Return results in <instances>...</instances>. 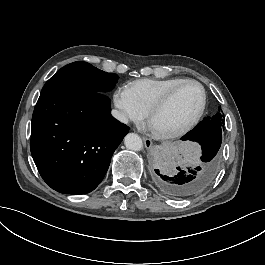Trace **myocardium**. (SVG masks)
Here are the masks:
<instances>
[{
	"label": "myocardium",
	"mask_w": 265,
	"mask_h": 265,
	"mask_svg": "<svg viewBox=\"0 0 265 265\" xmlns=\"http://www.w3.org/2000/svg\"><path fill=\"white\" fill-rule=\"evenodd\" d=\"M188 83H194L198 85L202 92V102L196 114L185 125H183L178 129L169 132L155 131L152 127V122L156 114L160 112L162 109H164L173 100V98L175 97V95L178 93V91L181 89L182 86ZM207 102H208V93L206 87L202 82L192 78L183 79L182 81L177 83L171 90H169L168 93L152 107V109L148 114V125L152 129L154 134L160 139L168 140V139L181 137L187 134L190 130H192L195 127V125L200 121L206 110Z\"/></svg>",
	"instance_id": "obj_1"
}]
</instances>
